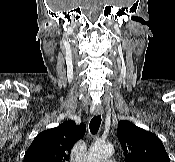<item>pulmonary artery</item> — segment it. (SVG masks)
<instances>
[{
    "instance_id": "pulmonary-artery-1",
    "label": "pulmonary artery",
    "mask_w": 175,
    "mask_h": 162,
    "mask_svg": "<svg viewBox=\"0 0 175 162\" xmlns=\"http://www.w3.org/2000/svg\"><path fill=\"white\" fill-rule=\"evenodd\" d=\"M103 162H115V160H113V159H106Z\"/></svg>"
}]
</instances>
